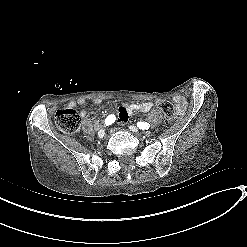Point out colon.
<instances>
[{
	"label": "colon",
	"instance_id": "5ec220e1",
	"mask_svg": "<svg viewBox=\"0 0 247 247\" xmlns=\"http://www.w3.org/2000/svg\"><path fill=\"white\" fill-rule=\"evenodd\" d=\"M157 107L163 114L167 122H171L176 117L174 106L165 100H159ZM55 119L58 127L66 133L76 132L81 125L79 113L71 108L60 109L55 114Z\"/></svg>",
	"mask_w": 247,
	"mask_h": 247
}]
</instances>
